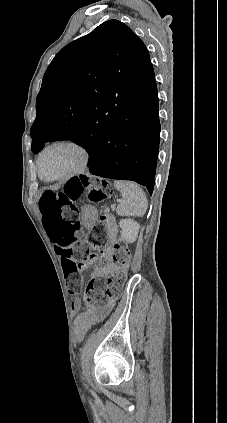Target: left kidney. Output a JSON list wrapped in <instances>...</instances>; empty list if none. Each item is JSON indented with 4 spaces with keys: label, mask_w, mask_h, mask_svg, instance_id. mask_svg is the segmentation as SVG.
Listing matches in <instances>:
<instances>
[{
    "label": "left kidney",
    "mask_w": 227,
    "mask_h": 423,
    "mask_svg": "<svg viewBox=\"0 0 227 423\" xmlns=\"http://www.w3.org/2000/svg\"><path fill=\"white\" fill-rule=\"evenodd\" d=\"M119 225L122 229L121 237L124 241H128V243L136 241L140 229L138 221H134V219H120Z\"/></svg>",
    "instance_id": "obj_1"
}]
</instances>
